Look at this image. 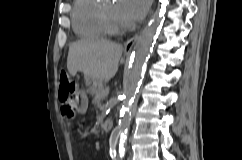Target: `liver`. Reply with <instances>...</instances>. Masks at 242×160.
<instances>
[{"label": "liver", "mask_w": 242, "mask_h": 160, "mask_svg": "<svg viewBox=\"0 0 242 160\" xmlns=\"http://www.w3.org/2000/svg\"><path fill=\"white\" fill-rule=\"evenodd\" d=\"M122 51V45L111 41L79 40L69 47L67 69L72 76L80 71L103 82L116 74Z\"/></svg>", "instance_id": "6515ba94"}]
</instances>
